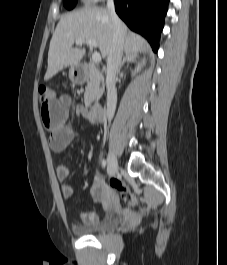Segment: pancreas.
<instances>
[{
  "instance_id": "pancreas-1",
  "label": "pancreas",
  "mask_w": 227,
  "mask_h": 265,
  "mask_svg": "<svg viewBox=\"0 0 227 265\" xmlns=\"http://www.w3.org/2000/svg\"><path fill=\"white\" fill-rule=\"evenodd\" d=\"M103 77L99 75L97 69L91 66L89 69V80L85 89L84 99L86 103H91L95 98L103 93Z\"/></svg>"
}]
</instances>
